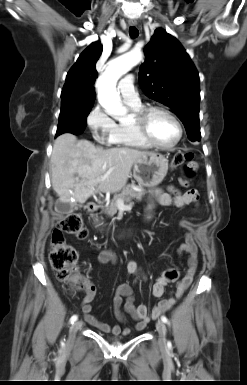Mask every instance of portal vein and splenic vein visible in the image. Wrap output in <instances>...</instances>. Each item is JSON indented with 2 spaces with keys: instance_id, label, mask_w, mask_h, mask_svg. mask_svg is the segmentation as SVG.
Returning <instances> with one entry per match:
<instances>
[{
  "instance_id": "portal-vein-and-splenic-vein-1",
  "label": "portal vein and splenic vein",
  "mask_w": 247,
  "mask_h": 385,
  "mask_svg": "<svg viewBox=\"0 0 247 385\" xmlns=\"http://www.w3.org/2000/svg\"><path fill=\"white\" fill-rule=\"evenodd\" d=\"M105 177H98V180H102L104 179ZM118 207L121 208V209H126L128 208L129 206L125 205L123 201H118Z\"/></svg>"
}]
</instances>
